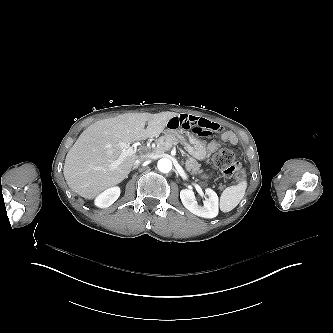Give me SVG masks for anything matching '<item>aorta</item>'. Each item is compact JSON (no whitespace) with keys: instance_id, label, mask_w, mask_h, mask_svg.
<instances>
[{"instance_id":"obj_1","label":"aorta","mask_w":333,"mask_h":333,"mask_svg":"<svg viewBox=\"0 0 333 333\" xmlns=\"http://www.w3.org/2000/svg\"><path fill=\"white\" fill-rule=\"evenodd\" d=\"M158 169L162 173H168L172 169V161L168 158H162L158 161Z\"/></svg>"}]
</instances>
